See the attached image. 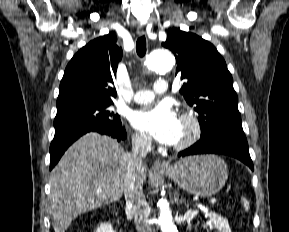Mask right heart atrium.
Listing matches in <instances>:
<instances>
[{"mask_svg":"<svg viewBox=\"0 0 289 232\" xmlns=\"http://www.w3.org/2000/svg\"><path fill=\"white\" fill-rule=\"evenodd\" d=\"M134 146L140 150H147L150 147V139L142 133L136 132L132 136Z\"/></svg>","mask_w":289,"mask_h":232,"instance_id":"obj_1","label":"right heart atrium"}]
</instances>
